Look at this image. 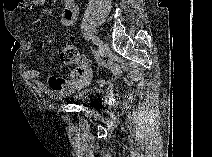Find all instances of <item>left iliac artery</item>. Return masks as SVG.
<instances>
[{
    "instance_id": "obj_1",
    "label": "left iliac artery",
    "mask_w": 212,
    "mask_h": 157,
    "mask_svg": "<svg viewBox=\"0 0 212 157\" xmlns=\"http://www.w3.org/2000/svg\"><path fill=\"white\" fill-rule=\"evenodd\" d=\"M93 43L96 44V45H99L98 37H93Z\"/></svg>"
}]
</instances>
